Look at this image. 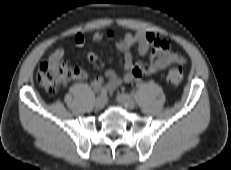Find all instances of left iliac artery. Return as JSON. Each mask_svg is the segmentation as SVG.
<instances>
[{"label":"left iliac artery","mask_w":231,"mask_h":170,"mask_svg":"<svg viewBox=\"0 0 231 170\" xmlns=\"http://www.w3.org/2000/svg\"><path fill=\"white\" fill-rule=\"evenodd\" d=\"M142 85H143V83L142 82H139V83H137V87H142Z\"/></svg>","instance_id":"1"}]
</instances>
